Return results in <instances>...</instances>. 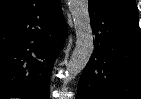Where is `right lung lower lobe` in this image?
<instances>
[{"mask_svg": "<svg viewBox=\"0 0 141 99\" xmlns=\"http://www.w3.org/2000/svg\"><path fill=\"white\" fill-rule=\"evenodd\" d=\"M66 32L59 0H32L0 15V99H49Z\"/></svg>", "mask_w": 141, "mask_h": 99, "instance_id": "right-lung-lower-lobe-1", "label": "right lung lower lobe"}]
</instances>
